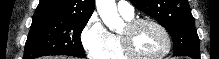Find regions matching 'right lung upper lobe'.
<instances>
[{
	"instance_id": "obj_1",
	"label": "right lung upper lobe",
	"mask_w": 219,
	"mask_h": 59,
	"mask_svg": "<svg viewBox=\"0 0 219 59\" xmlns=\"http://www.w3.org/2000/svg\"><path fill=\"white\" fill-rule=\"evenodd\" d=\"M94 8L95 0H40L34 16L54 15L90 18Z\"/></svg>"
}]
</instances>
